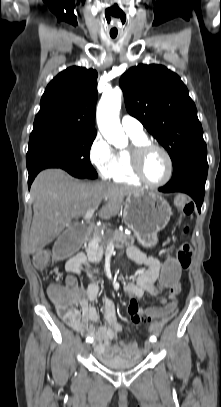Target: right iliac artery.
<instances>
[{
    "instance_id": "82829eb1",
    "label": "right iliac artery",
    "mask_w": 221,
    "mask_h": 407,
    "mask_svg": "<svg viewBox=\"0 0 221 407\" xmlns=\"http://www.w3.org/2000/svg\"><path fill=\"white\" fill-rule=\"evenodd\" d=\"M92 341H93V339H92V338H90V337H87V338H86V342H88V343H92Z\"/></svg>"
}]
</instances>
